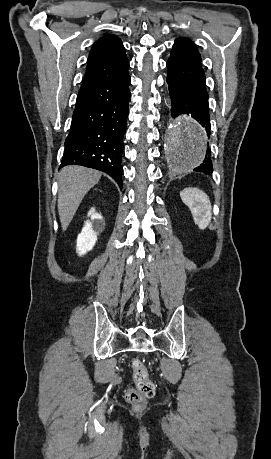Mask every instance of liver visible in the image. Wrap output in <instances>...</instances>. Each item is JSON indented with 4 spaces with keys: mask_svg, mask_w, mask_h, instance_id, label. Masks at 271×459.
I'll return each instance as SVG.
<instances>
[{
    "mask_svg": "<svg viewBox=\"0 0 271 459\" xmlns=\"http://www.w3.org/2000/svg\"><path fill=\"white\" fill-rule=\"evenodd\" d=\"M101 172L82 168V166H66L59 174L58 214L63 231L68 228L76 210H78L85 194L98 184Z\"/></svg>",
    "mask_w": 271,
    "mask_h": 459,
    "instance_id": "6515ba94",
    "label": "liver"
}]
</instances>
